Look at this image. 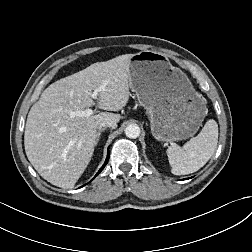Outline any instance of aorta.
<instances>
[{
  "label": "aorta",
  "mask_w": 252,
  "mask_h": 252,
  "mask_svg": "<svg viewBox=\"0 0 252 252\" xmlns=\"http://www.w3.org/2000/svg\"><path fill=\"white\" fill-rule=\"evenodd\" d=\"M140 132V127L137 124H130L125 129V135L130 139L139 137Z\"/></svg>",
  "instance_id": "762f6f07"
}]
</instances>
